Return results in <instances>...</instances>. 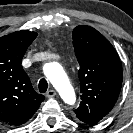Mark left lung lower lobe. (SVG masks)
Instances as JSON below:
<instances>
[{
  "label": "left lung lower lobe",
  "instance_id": "left-lung-lower-lobe-1",
  "mask_svg": "<svg viewBox=\"0 0 133 133\" xmlns=\"http://www.w3.org/2000/svg\"><path fill=\"white\" fill-rule=\"evenodd\" d=\"M79 120L87 123V124H95L96 122H93V121H90V120H86V119H83V118H78Z\"/></svg>",
  "mask_w": 133,
  "mask_h": 133
}]
</instances>
